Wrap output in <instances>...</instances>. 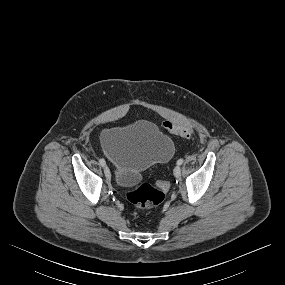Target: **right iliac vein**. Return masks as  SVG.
I'll return each mask as SVG.
<instances>
[{"mask_svg":"<svg viewBox=\"0 0 285 285\" xmlns=\"http://www.w3.org/2000/svg\"><path fill=\"white\" fill-rule=\"evenodd\" d=\"M104 173L107 178L111 177L110 169L107 166L104 167Z\"/></svg>","mask_w":285,"mask_h":285,"instance_id":"63e3f726","label":"right iliac vein"}]
</instances>
